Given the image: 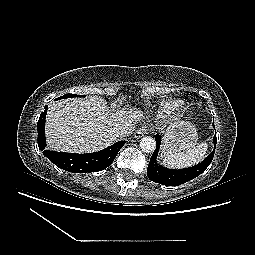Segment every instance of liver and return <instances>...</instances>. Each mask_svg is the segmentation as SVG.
I'll use <instances>...</instances> for the list:
<instances>
[{
  "mask_svg": "<svg viewBox=\"0 0 255 255\" xmlns=\"http://www.w3.org/2000/svg\"><path fill=\"white\" fill-rule=\"evenodd\" d=\"M111 108L99 96L64 99L52 104L46 117L48 147L64 152H95L117 141L116 127L127 125L133 131L144 116L134 107L113 104Z\"/></svg>",
  "mask_w": 255,
  "mask_h": 255,
  "instance_id": "1",
  "label": "liver"
}]
</instances>
